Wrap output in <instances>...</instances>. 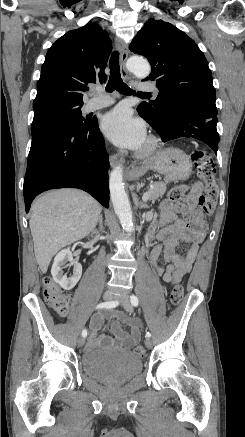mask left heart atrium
<instances>
[{"label":"left heart atrium","instance_id":"obj_1","mask_svg":"<svg viewBox=\"0 0 245 437\" xmlns=\"http://www.w3.org/2000/svg\"><path fill=\"white\" fill-rule=\"evenodd\" d=\"M105 136L120 147L138 148L142 145L145 130L142 122L132 117L126 107H117L101 119Z\"/></svg>","mask_w":245,"mask_h":437}]
</instances>
